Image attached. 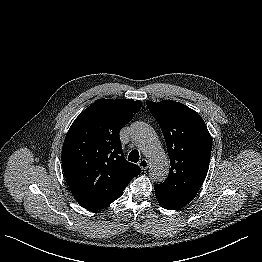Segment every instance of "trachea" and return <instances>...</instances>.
I'll return each instance as SVG.
<instances>
[{"label":"trachea","mask_w":262,"mask_h":262,"mask_svg":"<svg viewBox=\"0 0 262 262\" xmlns=\"http://www.w3.org/2000/svg\"><path fill=\"white\" fill-rule=\"evenodd\" d=\"M139 158H140V155L137 150H132L129 153V156H128L129 161L137 163L139 161Z\"/></svg>","instance_id":"1"}]
</instances>
